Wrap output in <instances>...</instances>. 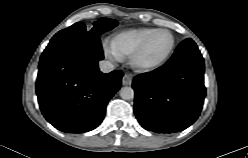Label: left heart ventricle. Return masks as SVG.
Segmentation results:
<instances>
[{
  "label": "left heart ventricle",
  "instance_id": "1",
  "mask_svg": "<svg viewBox=\"0 0 248 158\" xmlns=\"http://www.w3.org/2000/svg\"><path fill=\"white\" fill-rule=\"evenodd\" d=\"M171 44V37L165 32L155 34L149 41L147 48L140 61L144 64H150L161 59L168 51Z\"/></svg>",
  "mask_w": 248,
  "mask_h": 158
}]
</instances>
